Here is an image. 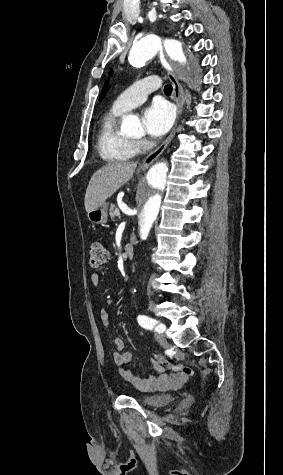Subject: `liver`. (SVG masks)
I'll use <instances>...</instances> for the list:
<instances>
[{
    "instance_id": "liver-1",
    "label": "liver",
    "mask_w": 283,
    "mask_h": 475,
    "mask_svg": "<svg viewBox=\"0 0 283 475\" xmlns=\"http://www.w3.org/2000/svg\"><path fill=\"white\" fill-rule=\"evenodd\" d=\"M135 162H110L93 174L85 194V210L92 212L113 196L114 192L132 178Z\"/></svg>"
}]
</instances>
